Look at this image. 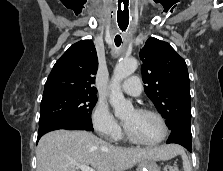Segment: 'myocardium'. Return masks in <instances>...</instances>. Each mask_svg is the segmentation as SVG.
<instances>
[{"instance_id":"obj_1","label":"myocardium","mask_w":223,"mask_h":171,"mask_svg":"<svg viewBox=\"0 0 223 171\" xmlns=\"http://www.w3.org/2000/svg\"><path fill=\"white\" fill-rule=\"evenodd\" d=\"M135 111L138 113L149 114V115H153L154 117H156L161 124L162 134H161L160 138L154 142H143V141H140L137 138H135L125 127L124 128L125 137L130 142L140 145V146L153 147V146H157V145L161 144L166 139V137L168 135V125H167L165 118L158 111L150 109V108H146V107L137 108V109H135Z\"/></svg>"}]
</instances>
